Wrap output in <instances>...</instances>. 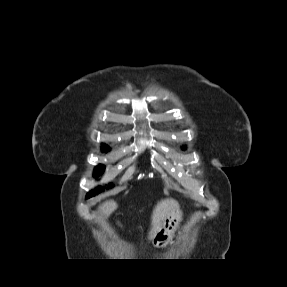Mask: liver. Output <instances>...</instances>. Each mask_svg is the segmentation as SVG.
<instances>
[{
    "instance_id": "1",
    "label": "liver",
    "mask_w": 287,
    "mask_h": 287,
    "mask_svg": "<svg viewBox=\"0 0 287 287\" xmlns=\"http://www.w3.org/2000/svg\"><path fill=\"white\" fill-rule=\"evenodd\" d=\"M117 204L113 200L107 201L99 206V211L103 215H110L116 210ZM179 204L174 199H164L157 203L153 209L151 216V229L148 234V239L152 240L156 232L161 228L165 218L171 213H179Z\"/></svg>"
}]
</instances>
